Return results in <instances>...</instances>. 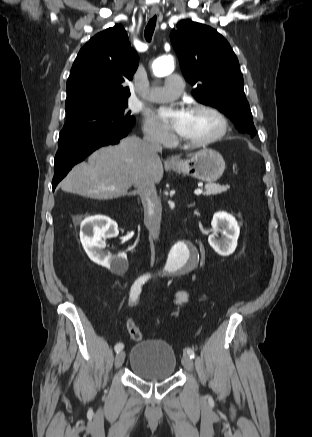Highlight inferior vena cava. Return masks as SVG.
I'll list each match as a JSON object with an SVG mask.
<instances>
[{
  "label": "inferior vena cava",
  "mask_w": 312,
  "mask_h": 437,
  "mask_svg": "<svg viewBox=\"0 0 312 437\" xmlns=\"http://www.w3.org/2000/svg\"><path fill=\"white\" fill-rule=\"evenodd\" d=\"M144 142L148 143L151 152H161L162 146L150 135H146ZM137 193L140 195L145 211V222L152 239L157 240L160 234L162 206L157 196L153 181L138 179L136 182Z\"/></svg>",
  "instance_id": "inferior-vena-cava-1"
}]
</instances>
